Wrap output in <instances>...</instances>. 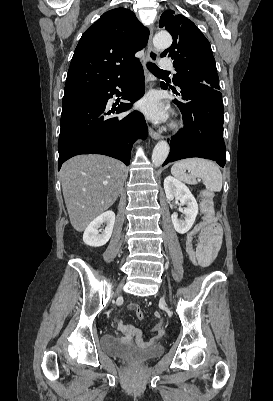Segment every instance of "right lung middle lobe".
I'll list each match as a JSON object with an SVG mask.
<instances>
[{
  "label": "right lung middle lobe",
  "mask_w": 273,
  "mask_h": 401,
  "mask_svg": "<svg viewBox=\"0 0 273 401\" xmlns=\"http://www.w3.org/2000/svg\"><path fill=\"white\" fill-rule=\"evenodd\" d=\"M76 97H78V96L64 97V98H63V104H64V103H67V102H69V101H71V100H73V99H75Z\"/></svg>",
  "instance_id": "right-lung-middle-lobe-1"
}]
</instances>
